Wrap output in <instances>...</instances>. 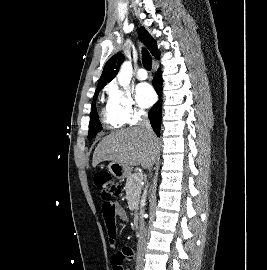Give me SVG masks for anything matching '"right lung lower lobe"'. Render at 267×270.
<instances>
[{
    "instance_id": "98d812e1",
    "label": "right lung lower lobe",
    "mask_w": 267,
    "mask_h": 270,
    "mask_svg": "<svg viewBox=\"0 0 267 270\" xmlns=\"http://www.w3.org/2000/svg\"><path fill=\"white\" fill-rule=\"evenodd\" d=\"M153 87L159 95V101L151 108L149 111L148 117L151 123V126L157 136L160 135V126H161V115H162V77L160 70L157 71L156 76L152 81Z\"/></svg>"
}]
</instances>
